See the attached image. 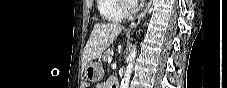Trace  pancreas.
<instances>
[{
  "label": "pancreas",
  "instance_id": "cf45deb5",
  "mask_svg": "<svg viewBox=\"0 0 227 88\" xmlns=\"http://www.w3.org/2000/svg\"><path fill=\"white\" fill-rule=\"evenodd\" d=\"M112 54V50L108 49L102 54V60L107 61L108 57H110Z\"/></svg>",
  "mask_w": 227,
  "mask_h": 88
}]
</instances>
